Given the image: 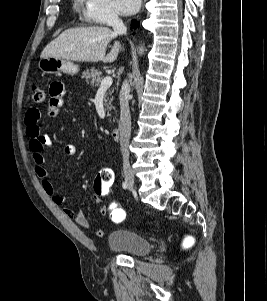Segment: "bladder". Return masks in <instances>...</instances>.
<instances>
[{"mask_svg":"<svg viewBox=\"0 0 267 301\" xmlns=\"http://www.w3.org/2000/svg\"><path fill=\"white\" fill-rule=\"evenodd\" d=\"M107 244L111 250L133 256L147 255L153 249L148 239L129 230H113L108 235Z\"/></svg>","mask_w":267,"mask_h":301,"instance_id":"31cf9c89","label":"bladder"}]
</instances>
